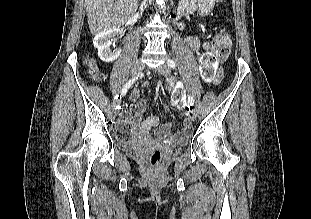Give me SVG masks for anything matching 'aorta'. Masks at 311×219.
<instances>
[{"instance_id": "1", "label": "aorta", "mask_w": 311, "mask_h": 219, "mask_svg": "<svg viewBox=\"0 0 311 219\" xmlns=\"http://www.w3.org/2000/svg\"><path fill=\"white\" fill-rule=\"evenodd\" d=\"M158 6H160V8H163L164 7V4H165V0H156Z\"/></svg>"}]
</instances>
